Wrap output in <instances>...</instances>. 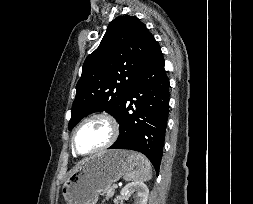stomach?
Listing matches in <instances>:
<instances>
[{
  "label": "stomach",
  "mask_w": 253,
  "mask_h": 204,
  "mask_svg": "<svg viewBox=\"0 0 253 204\" xmlns=\"http://www.w3.org/2000/svg\"><path fill=\"white\" fill-rule=\"evenodd\" d=\"M136 165V153L126 150H106L84 159L62 187L66 204H96L107 187Z\"/></svg>",
  "instance_id": "obj_1"
}]
</instances>
